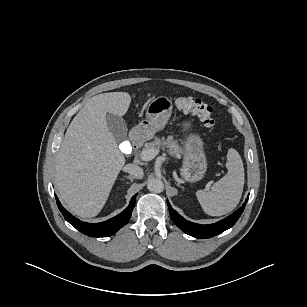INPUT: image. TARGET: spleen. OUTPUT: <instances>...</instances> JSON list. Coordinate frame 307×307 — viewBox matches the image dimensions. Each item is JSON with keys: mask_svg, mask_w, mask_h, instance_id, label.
<instances>
[{"mask_svg": "<svg viewBox=\"0 0 307 307\" xmlns=\"http://www.w3.org/2000/svg\"><path fill=\"white\" fill-rule=\"evenodd\" d=\"M228 172L215 182L210 191L198 190L197 199L204 212L221 216L231 212L239 203L244 187V167L240 154L231 148L227 153Z\"/></svg>", "mask_w": 307, "mask_h": 307, "instance_id": "obj_1", "label": "spleen"}]
</instances>
